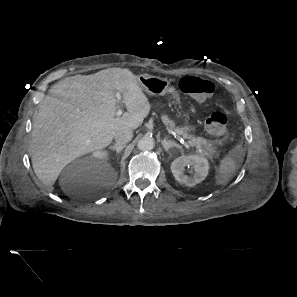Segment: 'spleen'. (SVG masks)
<instances>
[{"mask_svg": "<svg viewBox=\"0 0 297 297\" xmlns=\"http://www.w3.org/2000/svg\"><path fill=\"white\" fill-rule=\"evenodd\" d=\"M236 171V162L233 157L225 156L219 164L215 175V184L222 185L229 181Z\"/></svg>", "mask_w": 297, "mask_h": 297, "instance_id": "obj_1", "label": "spleen"}]
</instances>
